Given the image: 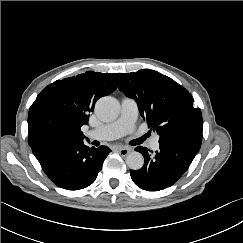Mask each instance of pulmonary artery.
Segmentation results:
<instances>
[{"instance_id":"pulmonary-artery-1","label":"pulmonary artery","mask_w":243,"mask_h":243,"mask_svg":"<svg viewBox=\"0 0 243 243\" xmlns=\"http://www.w3.org/2000/svg\"><path fill=\"white\" fill-rule=\"evenodd\" d=\"M137 115V102L132 98L125 97L121 102L119 118L97 129L88 131L86 137L92 140H113L127 133H131L134 130ZM149 146L152 150H158V136H153L149 139Z\"/></svg>"}]
</instances>
